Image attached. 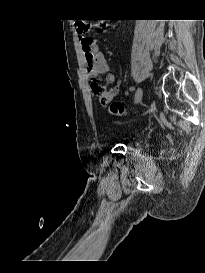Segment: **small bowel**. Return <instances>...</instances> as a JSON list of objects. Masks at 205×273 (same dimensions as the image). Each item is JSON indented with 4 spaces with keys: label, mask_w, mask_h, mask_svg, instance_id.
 <instances>
[{
    "label": "small bowel",
    "mask_w": 205,
    "mask_h": 273,
    "mask_svg": "<svg viewBox=\"0 0 205 273\" xmlns=\"http://www.w3.org/2000/svg\"><path fill=\"white\" fill-rule=\"evenodd\" d=\"M79 42L89 75L94 78L105 75L107 82L113 84L115 77L110 73L109 63L98 49L96 40L90 37H81Z\"/></svg>",
    "instance_id": "obj_1"
}]
</instances>
